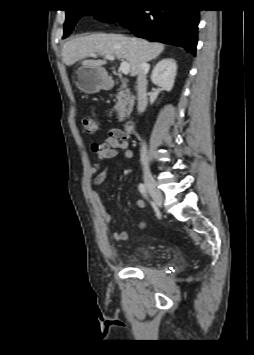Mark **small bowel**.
<instances>
[{"label": "small bowel", "mask_w": 254, "mask_h": 355, "mask_svg": "<svg viewBox=\"0 0 254 355\" xmlns=\"http://www.w3.org/2000/svg\"><path fill=\"white\" fill-rule=\"evenodd\" d=\"M131 137L121 129H111L107 136L103 138L101 143L93 142L91 144V151L96 156V161L91 167V172L95 174L94 184L101 185L107 176V168H102L103 162H110L121 155L125 158H132L133 152L130 149ZM91 198L97 205L99 213L102 219L110 223L114 220L113 215H111L104 207L101 197L97 191H92ZM137 206L141 209L145 208L146 203L144 200H138ZM140 226L145 227V223L142 222ZM113 239L115 241L121 242L128 239V232L121 230L113 234Z\"/></svg>", "instance_id": "small-bowel-1"}]
</instances>
